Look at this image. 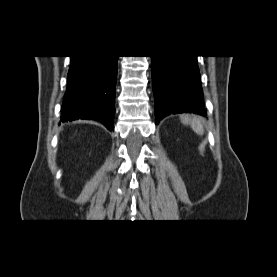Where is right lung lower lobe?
Instances as JSON below:
<instances>
[{"mask_svg": "<svg viewBox=\"0 0 277 277\" xmlns=\"http://www.w3.org/2000/svg\"><path fill=\"white\" fill-rule=\"evenodd\" d=\"M117 70L118 56H71L61 121L92 119L114 130Z\"/></svg>", "mask_w": 277, "mask_h": 277, "instance_id": "98d812e1", "label": "right lung lower lobe"}]
</instances>
